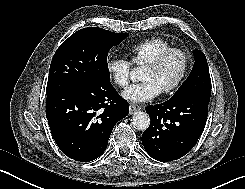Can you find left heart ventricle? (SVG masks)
<instances>
[{
    "mask_svg": "<svg viewBox=\"0 0 245 189\" xmlns=\"http://www.w3.org/2000/svg\"><path fill=\"white\" fill-rule=\"evenodd\" d=\"M182 70L183 60L179 55L174 54L156 70L144 67L141 72V80L152 81L162 91L178 79Z\"/></svg>",
    "mask_w": 245,
    "mask_h": 189,
    "instance_id": "1",
    "label": "left heart ventricle"
}]
</instances>
